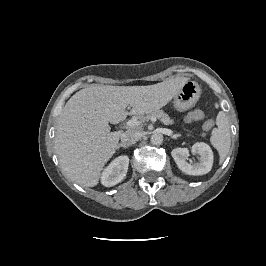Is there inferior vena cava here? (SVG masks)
Returning a JSON list of instances; mask_svg holds the SVG:
<instances>
[{
	"mask_svg": "<svg viewBox=\"0 0 266 266\" xmlns=\"http://www.w3.org/2000/svg\"><path fill=\"white\" fill-rule=\"evenodd\" d=\"M141 138V133L138 131L128 130L121 135V144L131 146Z\"/></svg>",
	"mask_w": 266,
	"mask_h": 266,
	"instance_id": "602c4592",
	"label": "inferior vena cava"
}]
</instances>
